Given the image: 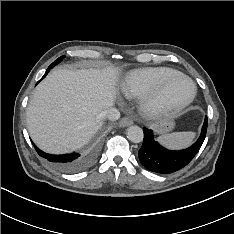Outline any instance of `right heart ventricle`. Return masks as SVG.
<instances>
[{"label":"right heart ventricle","instance_id":"e07e8e85","mask_svg":"<svg viewBox=\"0 0 234 234\" xmlns=\"http://www.w3.org/2000/svg\"><path fill=\"white\" fill-rule=\"evenodd\" d=\"M177 74H179L178 71L166 67L135 69L127 74L121 89L129 98L142 97Z\"/></svg>","mask_w":234,"mask_h":234}]
</instances>
